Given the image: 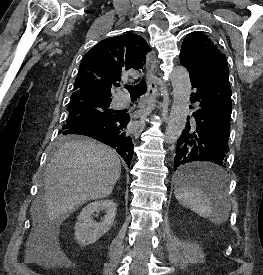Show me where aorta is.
Instances as JSON below:
<instances>
[{"label":"aorta","instance_id":"762f6f07","mask_svg":"<svg viewBox=\"0 0 263 275\" xmlns=\"http://www.w3.org/2000/svg\"><path fill=\"white\" fill-rule=\"evenodd\" d=\"M170 78L173 87V104L165 132L167 144L176 142L185 128L191 93V81L186 68L181 66L174 68Z\"/></svg>","mask_w":263,"mask_h":275}]
</instances>
